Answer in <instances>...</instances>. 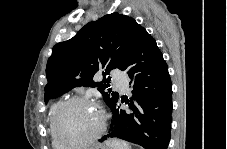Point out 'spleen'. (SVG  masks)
I'll return each mask as SVG.
<instances>
[{"mask_svg":"<svg viewBox=\"0 0 227 149\" xmlns=\"http://www.w3.org/2000/svg\"><path fill=\"white\" fill-rule=\"evenodd\" d=\"M107 145L110 149H131L127 142L118 139L109 140Z\"/></svg>","mask_w":227,"mask_h":149,"instance_id":"1","label":"spleen"}]
</instances>
